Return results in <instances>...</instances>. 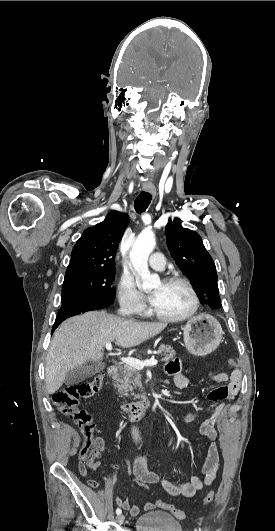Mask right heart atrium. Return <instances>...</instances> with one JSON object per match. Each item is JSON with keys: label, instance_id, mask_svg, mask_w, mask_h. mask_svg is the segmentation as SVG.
Returning <instances> with one entry per match:
<instances>
[{"label": "right heart atrium", "instance_id": "d8ad5b80", "mask_svg": "<svg viewBox=\"0 0 275 531\" xmlns=\"http://www.w3.org/2000/svg\"><path fill=\"white\" fill-rule=\"evenodd\" d=\"M119 299L124 311L131 316H142L147 309L146 299L135 285L132 276L124 274L119 283Z\"/></svg>", "mask_w": 275, "mask_h": 531}]
</instances>
